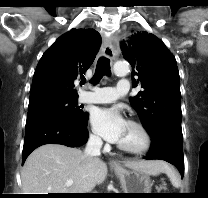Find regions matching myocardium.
<instances>
[{
  "instance_id": "obj_1",
  "label": "myocardium",
  "mask_w": 208,
  "mask_h": 198,
  "mask_svg": "<svg viewBox=\"0 0 208 198\" xmlns=\"http://www.w3.org/2000/svg\"><path fill=\"white\" fill-rule=\"evenodd\" d=\"M128 124L136 127L139 130V132L141 133L143 142L141 146L139 147H128L120 143L117 144V147L120 150L129 154L141 155V154L146 153L151 148V145H152V136L149 130L146 128L144 124L136 120H129Z\"/></svg>"
}]
</instances>
